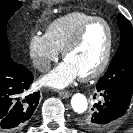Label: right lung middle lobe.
I'll return each instance as SVG.
<instances>
[{
  "mask_svg": "<svg viewBox=\"0 0 133 133\" xmlns=\"http://www.w3.org/2000/svg\"><path fill=\"white\" fill-rule=\"evenodd\" d=\"M21 6V1L0 0V62L11 60L6 35V23Z\"/></svg>",
  "mask_w": 133,
  "mask_h": 133,
  "instance_id": "1",
  "label": "right lung middle lobe"
}]
</instances>
